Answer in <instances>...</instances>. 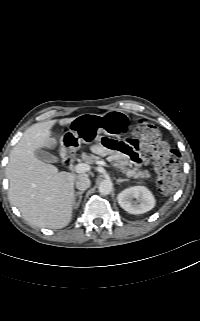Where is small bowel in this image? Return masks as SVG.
<instances>
[{"mask_svg":"<svg viewBox=\"0 0 200 321\" xmlns=\"http://www.w3.org/2000/svg\"><path fill=\"white\" fill-rule=\"evenodd\" d=\"M98 141L103 147L112 152L110 159L118 164H124L126 160L131 163L144 165L147 162V152L140 138L130 135L117 138L102 134Z\"/></svg>","mask_w":200,"mask_h":321,"instance_id":"small-bowel-1","label":"small bowel"}]
</instances>
